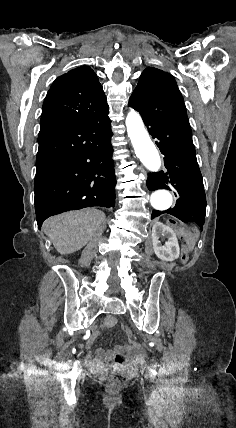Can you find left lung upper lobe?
I'll list each match as a JSON object with an SVG mask.
<instances>
[{"label":"left lung upper lobe","mask_w":236,"mask_h":428,"mask_svg":"<svg viewBox=\"0 0 236 428\" xmlns=\"http://www.w3.org/2000/svg\"><path fill=\"white\" fill-rule=\"evenodd\" d=\"M148 118H163L189 127L183 97L172 75L154 67L146 68L129 104Z\"/></svg>","instance_id":"1"}]
</instances>
